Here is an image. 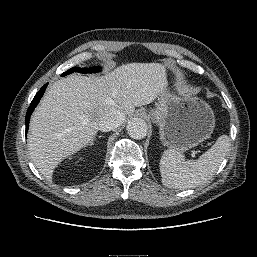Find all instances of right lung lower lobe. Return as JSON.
<instances>
[{"label": "right lung lower lobe", "instance_id": "right-lung-lower-lobe-1", "mask_svg": "<svg viewBox=\"0 0 257 257\" xmlns=\"http://www.w3.org/2000/svg\"><path fill=\"white\" fill-rule=\"evenodd\" d=\"M47 87V84H45L40 90L39 92L35 95V97L33 98L30 107L28 108V111L26 113V117H25V124H26V132L28 131V127H29V120H30V115L32 114L34 108L36 107V105L39 103L41 97L44 94V91Z\"/></svg>", "mask_w": 257, "mask_h": 257}]
</instances>
